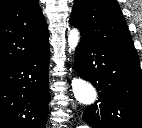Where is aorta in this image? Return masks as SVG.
<instances>
[{
	"instance_id": "obj_1",
	"label": "aorta",
	"mask_w": 142,
	"mask_h": 128,
	"mask_svg": "<svg viewBox=\"0 0 142 128\" xmlns=\"http://www.w3.org/2000/svg\"><path fill=\"white\" fill-rule=\"evenodd\" d=\"M80 40V32L73 28L68 34L69 51L75 50ZM72 91L76 100L83 105H92L97 98L95 88L88 82L74 78L72 80Z\"/></svg>"
}]
</instances>
